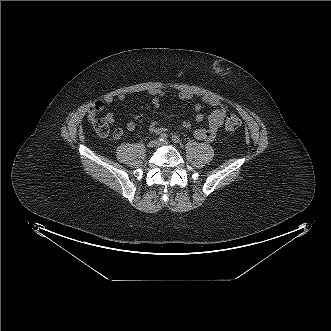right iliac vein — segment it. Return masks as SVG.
<instances>
[{"label": "right iliac vein", "mask_w": 331, "mask_h": 331, "mask_svg": "<svg viewBox=\"0 0 331 331\" xmlns=\"http://www.w3.org/2000/svg\"><path fill=\"white\" fill-rule=\"evenodd\" d=\"M158 141L157 140H152V141H150L148 144H147V147L148 148H154V147H156L157 145H158Z\"/></svg>", "instance_id": "right-iliac-vein-1"}]
</instances>
